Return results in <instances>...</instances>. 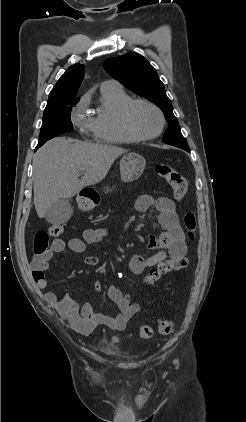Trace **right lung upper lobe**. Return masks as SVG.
<instances>
[{"label":"right lung upper lobe","instance_id":"right-lung-upper-lobe-1","mask_svg":"<svg viewBox=\"0 0 246 422\" xmlns=\"http://www.w3.org/2000/svg\"><path fill=\"white\" fill-rule=\"evenodd\" d=\"M84 65L75 64L60 77L49 94L47 106H53L68 101H79L76 98L81 81L84 77Z\"/></svg>","mask_w":246,"mask_h":422}]
</instances>
